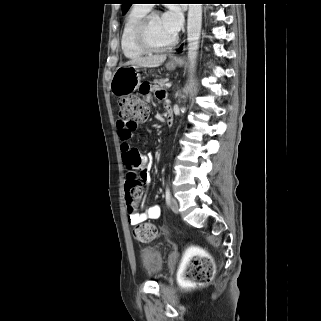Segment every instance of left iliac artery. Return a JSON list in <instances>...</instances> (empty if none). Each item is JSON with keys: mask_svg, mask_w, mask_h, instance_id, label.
<instances>
[{"mask_svg": "<svg viewBox=\"0 0 321 321\" xmlns=\"http://www.w3.org/2000/svg\"><path fill=\"white\" fill-rule=\"evenodd\" d=\"M170 199H171V193H170V189H169V187H168V185H167V187H166V203L169 205V203H170Z\"/></svg>", "mask_w": 321, "mask_h": 321, "instance_id": "left-iliac-artery-1", "label": "left iliac artery"}]
</instances>
